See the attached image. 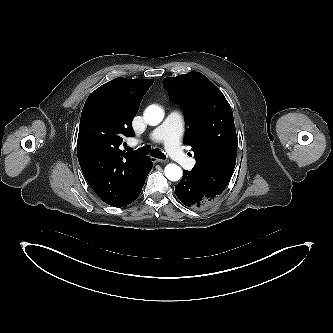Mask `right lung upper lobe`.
Returning a JSON list of instances; mask_svg holds the SVG:
<instances>
[{
	"label": "right lung upper lobe",
	"instance_id": "right-lung-upper-lobe-1",
	"mask_svg": "<svg viewBox=\"0 0 333 333\" xmlns=\"http://www.w3.org/2000/svg\"><path fill=\"white\" fill-rule=\"evenodd\" d=\"M153 79L116 78L93 91L82 110L77 155L82 172L94 192L118 207L131 193L148 157L119 149Z\"/></svg>",
	"mask_w": 333,
	"mask_h": 333
}]
</instances>
